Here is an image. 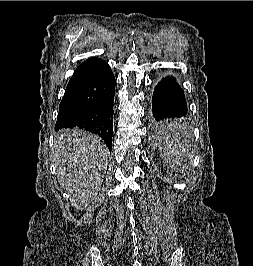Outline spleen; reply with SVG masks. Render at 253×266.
<instances>
[{
	"mask_svg": "<svg viewBox=\"0 0 253 266\" xmlns=\"http://www.w3.org/2000/svg\"><path fill=\"white\" fill-rule=\"evenodd\" d=\"M180 124L179 123H165L164 124V131L165 132H171L170 136L174 137L175 133L174 132H179L180 131ZM162 149H164V155H172V156H176L178 153V149H181V144H177V143H171L169 144V142L164 141L161 144Z\"/></svg>",
	"mask_w": 253,
	"mask_h": 266,
	"instance_id": "spleen-1",
	"label": "spleen"
}]
</instances>
